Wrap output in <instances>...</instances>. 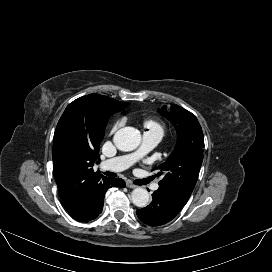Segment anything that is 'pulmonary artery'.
I'll list each match as a JSON object with an SVG mask.
<instances>
[{
  "label": "pulmonary artery",
  "instance_id": "1",
  "mask_svg": "<svg viewBox=\"0 0 272 272\" xmlns=\"http://www.w3.org/2000/svg\"><path fill=\"white\" fill-rule=\"evenodd\" d=\"M162 135V131L147 130L143 135L141 146L135 152L106 160L102 163V167L112 171H122L131 167L157 146ZM157 188L158 185L155 184L153 189Z\"/></svg>",
  "mask_w": 272,
  "mask_h": 272
}]
</instances>
